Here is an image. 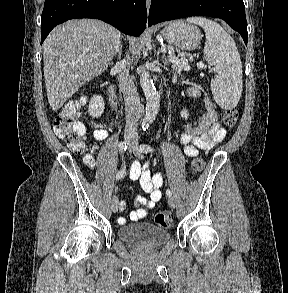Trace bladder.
Instances as JSON below:
<instances>
[{
  "instance_id": "obj_1",
  "label": "bladder",
  "mask_w": 288,
  "mask_h": 293,
  "mask_svg": "<svg viewBox=\"0 0 288 293\" xmlns=\"http://www.w3.org/2000/svg\"><path fill=\"white\" fill-rule=\"evenodd\" d=\"M118 235L124 242L145 248L161 246L170 238L168 230L146 222L124 225Z\"/></svg>"
}]
</instances>
